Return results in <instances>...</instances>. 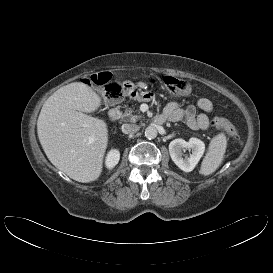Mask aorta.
Instances as JSON below:
<instances>
[{"mask_svg":"<svg viewBox=\"0 0 273 273\" xmlns=\"http://www.w3.org/2000/svg\"><path fill=\"white\" fill-rule=\"evenodd\" d=\"M157 136V129L153 126H148L146 129H145V137L147 139H154L156 138Z\"/></svg>","mask_w":273,"mask_h":273,"instance_id":"762f6f07","label":"aorta"}]
</instances>
